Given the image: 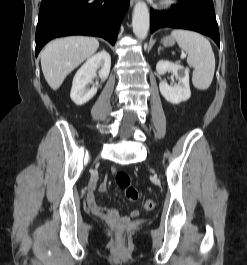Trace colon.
I'll return each mask as SVG.
<instances>
[{"label":"colon","mask_w":247,"mask_h":265,"mask_svg":"<svg viewBox=\"0 0 247 265\" xmlns=\"http://www.w3.org/2000/svg\"><path fill=\"white\" fill-rule=\"evenodd\" d=\"M115 182L119 188L124 190L125 196L131 201H136L139 197L138 190L132 185L129 174L125 171L116 173ZM155 201L147 199L143 202L142 206L146 211H151L155 208Z\"/></svg>","instance_id":"colon-1"}]
</instances>
